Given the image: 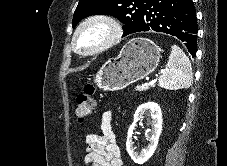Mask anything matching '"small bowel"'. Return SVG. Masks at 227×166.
<instances>
[{
	"mask_svg": "<svg viewBox=\"0 0 227 166\" xmlns=\"http://www.w3.org/2000/svg\"><path fill=\"white\" fill-rule=\"evenodd\" d=\"M112 113L105 110L101 115V132L86 135V166H122L120 149L113 132Z\"/></svg>",
	"mask_w": 227,
	"mask_h": 166,
	"instance_id": "1",
	"label": "small bowel"
}]
</instances>
